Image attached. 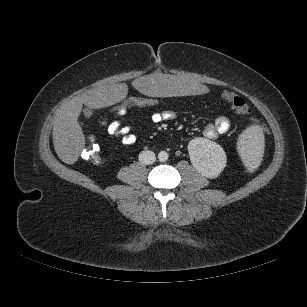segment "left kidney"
I'll return each instance as SVG.
<instances>
[{"label": "left kidney", "instance_id": "5707ae66", "mask_svg": "<svg viewBox=\"0 0 307 307\" xmlns=\"http://www.w3.org/2000/svg\"><path fill=\"white\" fill-rule=\"evenodd\" d=\"M190 161L194 168L207 178H216L226 167L223 148L209 139L196 137L188 144Z\"/></svg>", "mask_w": 307, "mask_h": 307}]
</instances>
